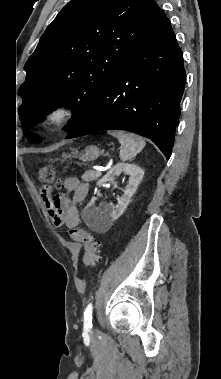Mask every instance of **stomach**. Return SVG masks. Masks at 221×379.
<instances>
[{
	"mask_svg": "<svg viewBox=\"0 0 221 379\" xmlns=\"http://www.w3.org/2000/svg\"><path fill=\"white\" fill-rule=\"evenodd\" d=\"M100 154L101 151L99 150V148L97 146L92 145L85 149L82 159L85 161H93L96 160Z\"/></svg>",
	"mask_w": 221,
	"mask_h": 379,
	"instance_id": "obj_1",
	"label": "stomach"
}]
</instances>
